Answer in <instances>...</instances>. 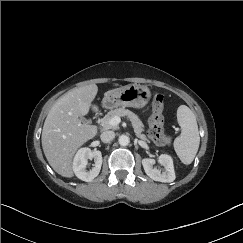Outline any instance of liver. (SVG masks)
<instances>
[{
  "label": "liver",
  "instance_id": "6515ba94",
  "mask_svg": "<svg viewBox=\"0 0 243 243\" xmlns=\"http://www.w3.org/2000/svg\"><path fill=\"white\" fill-rule=\"evenodd\" d=\"M120 88L104 93L107 97ZM98 92L96 84L74 88L61 96L50 109L42 130L45 157L59 175L74 176L73 157L84 143L95 137L97 127L82 123Z\"/></svg>",
  "mask_w": 243,
  "mask_h": 243
}]
</instances>
